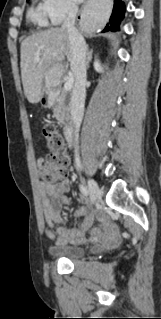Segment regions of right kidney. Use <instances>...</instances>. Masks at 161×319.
<instances>
[{
    "mask_svg": "<svg viewBox=\"0 0 161 319\" xmlns=\"http://www.w3.org/2000/svg\"><path fill=\"white\" fill-rule=\"evenodd\" d=\"M94 69H95L97 72H101V71H102L100 62H99V60H97V59H96L95 62H94Z\"/></svg>",
    "mask_w": 161,
    "mask_h": 319,
    "instance_id": "1",
    "label": "right kidney"
}]
</instances>
